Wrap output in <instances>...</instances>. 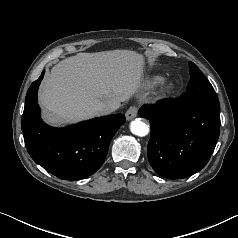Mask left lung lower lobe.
I'll list each match as a JSON object with an SVG mask.
<instances>
[{"label":"left lung lower lobe","instance_id":"0a47b994","mask_svg":"<svg viewBox=\"0 0 238 238\" xmlns=\"http://www.w3.org/2000/svg\"><path fill=\"white\" fill-rule=\"evenodd\" d=\"M151 124L147 146L150 165L167 179H182L205 167L220 132L219 100L182 106L180 98L139 110Z\"/></svg>","mask_w":238,"mask_h":238}]
</instances>
